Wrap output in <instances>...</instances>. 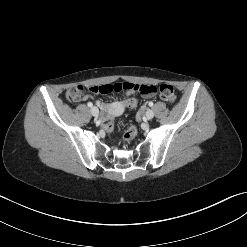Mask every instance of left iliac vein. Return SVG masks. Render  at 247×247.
Returning a JSON list of instances; mask_svg holds the SVG:
<instances>
[{
	"label": "left iliac vein",
	"instance_id": "4c4485c4",
	"mask_svg": "<svg viewBox=\"0 0 247 247\" xmlns=\"http://www.w3.org/2000/svg\"><path fill=\"white\" fill-rule=\"evenodd\" d=\"M146 118L148 120L152 119L154 117V112L151 109H148L145 114Z\"/></svg>",
	"mask_w": 247,
	"mask_h": 247
}]
</instances>
